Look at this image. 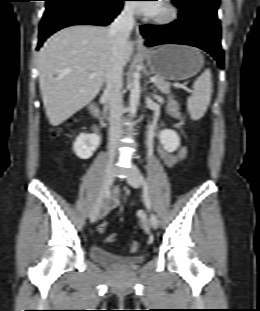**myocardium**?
Masks as SVG:
<instances>
[{"label":"myocardium","instance_id":"myocardium-1","mask_svg":"<svg viewBox=\"0 0 260 311\" xmlns=\"http://www.w3.org/2000/svg\"><path fill=\"white\" fill-rule=\"evenodd\" d=\"M163 12L159 15H153L150 20L158 25H169L175 22L179 16V10L172 0H162Z\"/></svg>","mask_w":260,"mask_h":311}]
</instances>
